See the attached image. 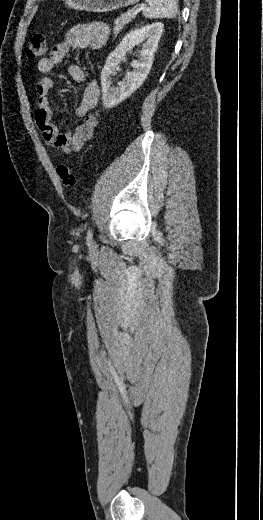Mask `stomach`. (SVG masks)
<instances>
[{
    "instance_id": "obj_1",
    "label": "stomach",
    "mask_w": 263,
    "mask_h": 520,
    "mask_svg": "<svg viewBox=\"0 0 263 520\" xmlns=\"http://www.w3.org/2000/svg\"><path fill=\"white\" fill-rule=\"evenodd\" d=\"M71 9L105 13L122 7L135 5L139 0H63Z\"/></svg>"
}]
</instances>
